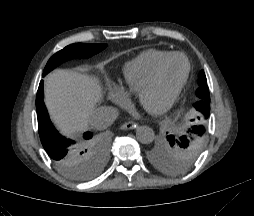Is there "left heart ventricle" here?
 Returning a JSON list of instances; mask_svg holds the SVG:
<instances>
[{
    "instance_id": "1",
    "label": "left heart ventricle",
    "mask_w": 254,
    "mask_h": 216,
    "mask_svg": "<svg viewBox=\"0 0 254 216\" xmlns=\"http://www.w3.org/2000/svg\"><path fill=\"white\" fill-rule=\"evenodd\" d=\"M186 68L183 58L177 57L167 63L161 71L156 85L143 97V104L151 109L160 107L181 80Z\"/></svg>"
}]
</instances>
